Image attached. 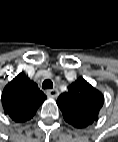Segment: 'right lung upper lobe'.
Returning a JSON list of instances; mask_svg holds the SVG:
<instances>
[{
	"label": "right lung upper lobe",
	"instance_id": "obj_1",
	"mask_svg": "<svg viewBox=\"0 0 118 142\" xmlns=\"http://www.w3.org/2000/svg\"><path fill=\"white\" fill-rule=\"evenodd\" d=\"M47 96L23 72L9 82L2 92V105L6 115L15 122L33 118Z\"/></svg>",
	"mask_w": 118,
	"mask_h": 142
}]
</instances>
